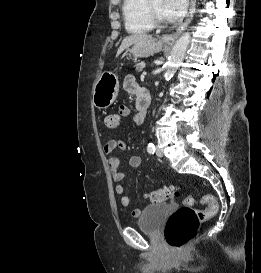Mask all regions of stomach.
I'll use <instances>...</instances> for the list:
<instances>
[{
  "mask_svg": "<svg viewBox=\"0 0 261 273\" xmlns=\"http://www.w3.org/2000/svg\"><path fill=\"white\" fill-rule=\"evenodd\" d=\"M164 43L151 38L134 43L128 52L135 58L148 57L162 50ZM119 92V81L113 72L105 71L93 86V104L98 109L108 108L117 98Z\"/></svg>",
  "mask_w": 261,
  "mask_h": 273,
  "instance_id": "1",
  "label": "stomach"
}]
</instances>
